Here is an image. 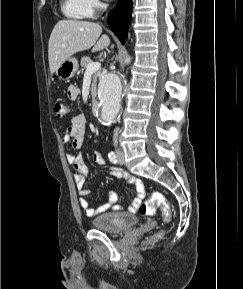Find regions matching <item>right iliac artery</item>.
<instances>
[{
    "label": "right iliac artery",
    "instance_id": "82829eb1",
    "mask_svg": "<svg viewBox=\"0 0 243 289\" xmlns=\"http://www.w3.org/2000/svg\"><path fill=\"white\" fill-rule=\"evenodd\" d=\"M108 157H109V160L111 163H114V164L117 163L118 159H117V156L114 152L109 153Z\"/></svg>",
    "mask_w": 243,
    "mask_h": 289
}]
</instances>
